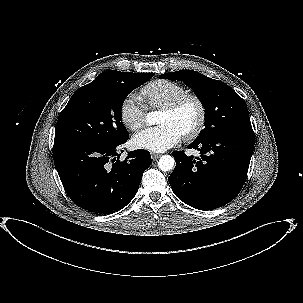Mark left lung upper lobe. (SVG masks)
<instances>
[{
  "mask_svg": "<svg viewBox=\"0 0 303 303\" xmlns=\"http://www.w3.org/2000/svg\"><path fill=\"white\" fill-rule=\"evenodd\" d=\"M160 79L183 81L205 108V128L195 141L233 133L254 134L245 101L222 81L192 70L165 73Z\"/></svg>",
  "mask_w": 303,
  "mask_h": 303,
  "instance_id": "5c2ea615",
  "label": "left lung upper lobe"
}]
</instances>
